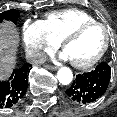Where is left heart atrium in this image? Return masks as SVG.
<instances>
[{
    "label": "left heart atrium",
    "mask_w": 117,
    "mask_h": 117,
    "mask_svg": "<svg viewBox=\"0 0 117 117\" xmlns=\"http://www.w3.org/2000/svg\"><path fill=\"white\" fill-rule=\"evenodd\" d=\"M61 58L65 59V60L66 59L70 60L69 56L67 55V53L65 51L61 54Z\"/></svg>",
    "instance_id": "left-heart-atrium-1"
}]
</instances>
